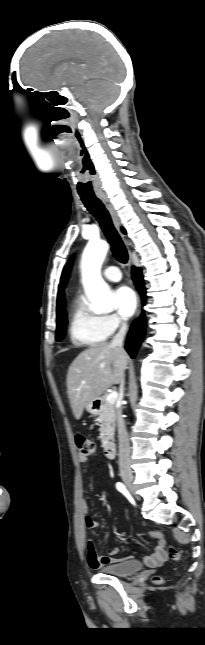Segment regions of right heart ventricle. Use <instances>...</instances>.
Returning <instances> with one entry per match:
<instances>
[{"label": "right heart ventricle", "instance_id": "right-heart-ventricle-1", "mask_svg": "<svg viewBox=\"0 0 205 645\" xmlns=\"http://www.w3.org/2000/svg\"><path fill=\"white\" fill-rule=\"evenodd\" d=\"M70 339L74 344L94 346L104 342L109 333L103 316L93 312L82 297H77L71 312Z\"/></svg>", "mask_w": 205, "mask_h": 645}]
</instances>
